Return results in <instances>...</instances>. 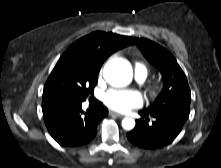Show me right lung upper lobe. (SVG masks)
I'll return each mask as SVG.
<instances>
[{
    "label": "right lung upper lobe",
    "instance_id": "cb5924a9",
    "mask_svg": "<svg viewBox=\"0 0 221 168\" xmlns=\"http://www.w3.org/2000/svg\"><path fill=\"white\" fill-rule=\"evenodd\" d=\"M131 44L134 41L130 37L98 31L73 43L63 56L90 59L102 66L112 53Z\"/></svg>",
    "mask_w": 221,
    "mask_h": 168
}]
</instances>
